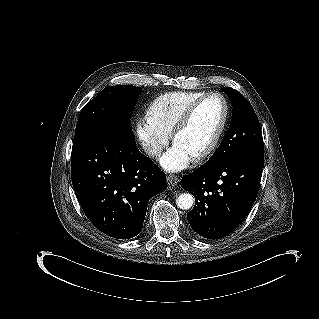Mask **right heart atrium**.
Segmentation results:
<instances>
[{"mask_svg":"<svg viewBox=\"0 0 319 319\" xmlns=\"http://www.w3.org/2000/svg\"><path fill=\"white\" fill-rule=\"evenodd\" d=\"M138 135L152 157L160 155L168 143L167 133L157 130L147 123H143L138 127Z\"/></svg>","mask_w":319,"mask_h":319,"instance_id":"d8ad5b80","label":"right heart atrium"}]
</instances>
